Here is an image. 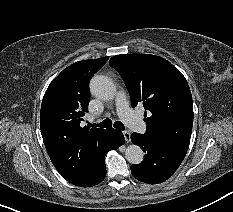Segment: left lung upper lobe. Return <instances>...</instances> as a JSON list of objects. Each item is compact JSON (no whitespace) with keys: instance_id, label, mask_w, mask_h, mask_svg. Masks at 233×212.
<instances>
[{"instance_id":"obj_1","label":"left lung upper lobe","mask_w":233,"mask_h":212,"mask_svg":"<svg viewBox=\"0 0 233 212\" xmlns=\"http://www.w3.org/2000/svg\"><path fill=\"white\" fill-rule=\"evenodd\" d=\"M125 82L132 106L143 104L147 130L144 135L187 150L193 125V104L183 74L162 57L123 54L109 61Z\"/></svg>"}]
</instances>
